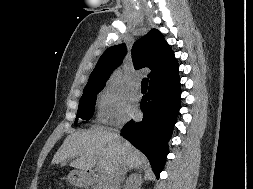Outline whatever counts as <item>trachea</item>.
<instances>
[{
    "label": "trachea",
    "mask_w": 253,
    "mask_h": 189,
    "mask_svg": "<svg viewBox=\"0 0 253 189\" xmlns=\"http://www.w3.org/2000/svg\"><path fill=\"white\" fill-rule=\"evenodd\" d=\"M148 81H149L148 78H144V79L142 80L141 87H142V88H147V87H148Z\"/></svg>",
    "instance_id": "trachea-1"
}]
</instances>
